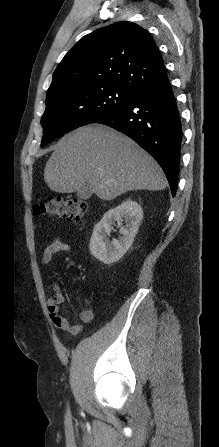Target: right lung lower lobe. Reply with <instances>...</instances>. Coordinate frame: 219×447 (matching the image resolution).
I'll return each instance as SVG.
<instances>
[{
    "label": "right lung lower lobe",
    "mask_w": 219,
    "mask_h": 447,
    "mask_svg": "<svg viewBox=\"0 0 219 447\" xmlns=\"http://www.w3.org/2000/svg\"><path fill=\"white\" fill-rule=\"evenodd\" d=\"M93 123L126 134L151 154L165 172L175 196L183 132L177 100L168 78L136 94L128 104Z\"/></svg>",
    "instance_id": "1"
}]
</instances>
